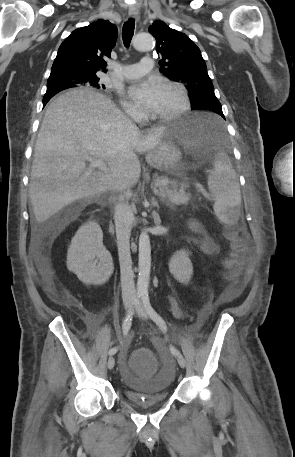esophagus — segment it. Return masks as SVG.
<instances>
[{
	"label": "esophagus",
	"instance_id": "34e87169",
	"mask_svg": "<svg viewBox=\"0 0 295 457\" xmlns=\"http://www.w3.org/2000/svg\"><path fill=\"white\" fill-rule=\"evenodd\" d=\"M128 13L131 18L139 19V10L135 6L130 7Z\"/></svg>",
	"mask_w": 295,
	"mask_h": 457
}]
</instances>
